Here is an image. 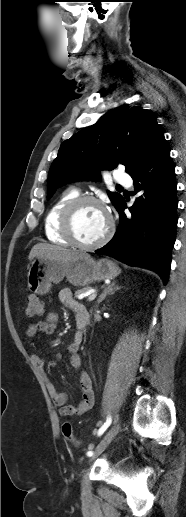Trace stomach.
<instances>
[{
	"label": "stomach",
	"mask_w": 186,
	"mask_h": 517,
	"mask_svg": "<svg viewBox=\"0 0 186 517\" xmlns=\"http://www.w3.org/2000/svg\"><path fill=\"white\" fill-rule=\"evenodd\" d=\"M120 269L109 259L95 261L92 258L78 260L35 259L28 271V287L37 294H46L52 283L64 277L75 286H84L95 281L114 279Z\"/></svg>",
	"instance_id": "obj_1"
}]
</instances>
